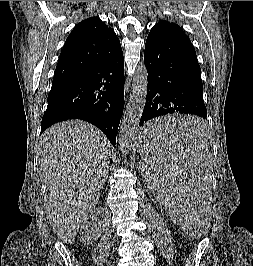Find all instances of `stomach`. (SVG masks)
<instances>
[{
  "label": "stomach",
  "instance_id": "1",
  "mask_svg": "<svg viewBox=\"0 0 253 266\" xmlns=\"http://www.w3.org/2000/svg\"><path fill=\"white\" fill-rule=\"evenodd\" d=\"M140 138H144V132L141 130L138 134V142ZM140 147V146H139Z\"/></svg>",
  "mask_w": 253,
  "mask_h": 266
}]
</instances>
